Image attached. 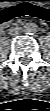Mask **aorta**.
<instances>
[{
	"mask_svg": "<svg viewBox=\"0 0 50 111\" xmlns=\"http://www.w3.org/2000/svg\"><path fill=\"white\" fill-rule=\"evenodd\" d=\"M38 30V27L35 23H26L23 27V31L26 34H35Z\"/></svg>",
	"mask_w": 50,
	"mask_h": 111,
	"instance_id": "1",
	"label": "aorta"
}]
</instances>
